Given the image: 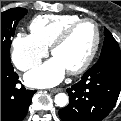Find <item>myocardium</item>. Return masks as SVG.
<instances>
[{
	"label": "myocardium",
	"mask_w": 121,
	"mask_h": 121,
	"mask_svg": "<svg viewBox=\"0 0 121 121\" xmlns=\"http://www.w3.org/2000/svg\"><path fill=\"white\" fill-rule=\"evenodd\" d=\"M84 23H90L94 27L95 40L85 60L78 67L67 71L70 75H77L84 72L95 58L101 43V31L98 23L91 18H80L79 20L68 25L51 45V53L54 55L55 51L69 39L75 29Z\"/></svg>",
	"instance_id": "f54148a6"
}]
</instances>
